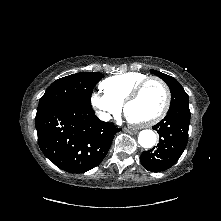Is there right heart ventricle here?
Instances as JSON below:
<instances>
[{
    "instance_id": "right-heart-ventricle-1",
    "label": "right heart ventricle",
    "mask_w": 221,
    "mask_h": 221,
    "mask_svg": "<svg viewBox=\"0 0 221 221\" xmlns=\"http://www.w3.org/2000/svg\"><path fill=\"white\" fill-rule=\"evenodd\" d=\"M147 77L139 72H126L103 80L101 88L107 96L122 105L130 92Z\"/></svg>"
}]
</instances>
